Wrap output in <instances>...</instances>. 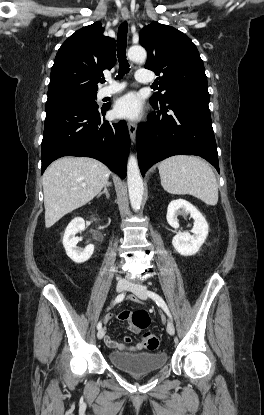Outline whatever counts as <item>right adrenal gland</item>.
<instances>
[{
	"instance_id": "1",
	"label": "right adrenal gland",
	"mask_w": 264,
	"mask_h": 415,
	"mask_svg": "<svg viewBox=\"0 0 264 415\" xmlns=\"http://www.w3.org/2000/svg\"><path fill=\"white\" fill-rule=\"evenodd\" d=\"M111 185H112L111 182H107L104 186V190L98 194V197H100L102 194H105L106 197L109 199L110 195H109V192H108V187L111 186Z\"/></svg>"
}]
</instances>
